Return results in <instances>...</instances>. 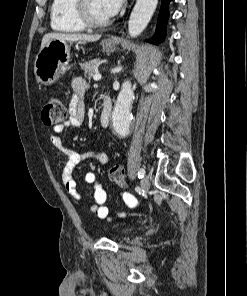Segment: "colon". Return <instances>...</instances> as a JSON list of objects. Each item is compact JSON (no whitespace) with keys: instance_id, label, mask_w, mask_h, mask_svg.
Returning <instances> with one entry per match:
<instances>
[{"instance_id":"5ec220e1","label":"colon","mask_w":247,"mask_h":296,"mask_svg":"<svg viewBox=\"0 0 247 296\" xmlns=\"http://www.w3.org/2000/svg\"><path fill=\"white\" fill-rule=\"evenodd\" d=\"M66 117V108L58 98L49 99L42 110V121L45 125L53 126L61 123ZM110 180L123 189H127V179L124 168L114 165L109 171Z\"/></svg>"}]
</instances>
